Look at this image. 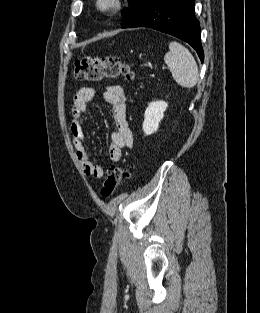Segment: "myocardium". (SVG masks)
<instances>
[{"mask_svg":"<svg viewBox=\"0 0 260 313\" xmlns=\"http://www.w3.org/2000/svg\"><path fill=\"white\" fill-rule=\"evenodd\" d=\"M123 0H96V8L104 14H110L121 9Z\"/></svg>","mask_w":260,"mask_h":313,"instance_id":"f54148a6","label":"myocardium"}]
</instances>
